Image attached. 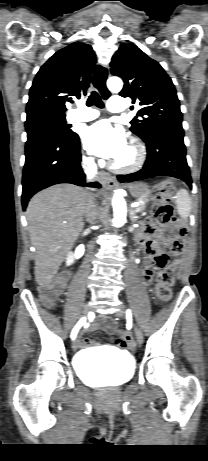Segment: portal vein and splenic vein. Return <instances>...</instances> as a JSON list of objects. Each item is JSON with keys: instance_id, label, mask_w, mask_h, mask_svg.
<instances>
[{"instance_id": "portal-vein-and-splenic-vein-1", "label": "portal vein and splenic vein", "mask_w": 208, "mask_h": 461, "mask_svg": "<svg viewBox=\"0 0 208 461\" xmlns=\"http://www.w3.org/2000/svg\"><path fill=\"white\" fill-rule=\"evenodd\" d=\"M140 206V203L139 202H134L131 204V207L136 209V211L138 210V207Z\"/></svg>"}]
</instances>
